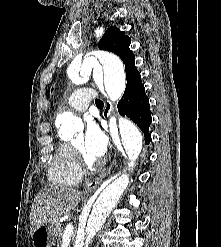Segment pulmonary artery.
I'll list each match as a JSON object with an SVG mask.
<instances>
[{
    "label": "pulmonary artery",
    "mask_w": 221,
    "mask_h": 247,
    "mask_svg": "<svg viewBox=\"0 0 221 247\" xmlns=\"http://www.w3.org/2000/svg\"><path fill=\"white\" fill-rule=\"evenodd\" d=\"M97 97V93L89 88L82 87L71 93L67 100L68 106L78 112L87 110L91 100Z\"/></svg>",
    "instance_id": "obj_1"
}]
</instances>
